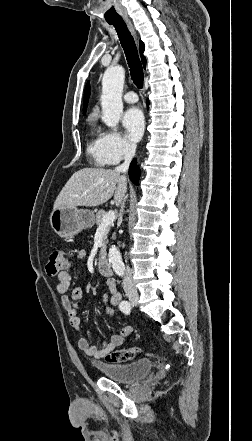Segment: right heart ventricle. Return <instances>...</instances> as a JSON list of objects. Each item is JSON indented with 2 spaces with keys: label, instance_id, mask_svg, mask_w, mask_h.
<instances>
[{
  "label": "right heart ventricle",
  "instance_id": "1",
  "mask_svg": "<svg viewBox=\"0 0 252 441\" xmlns=\"http://www.w3.org/2000/svg\"><path fill=\"white\" fill-rule=\"evenodd\" d=\"M102 136L103 134L92 125L90 130V140L87 145V153L99 166L107 164L102 150Z\"/></svg>",
  "mask_w": 252,
  "mask_h": 441
}]
</instances>
